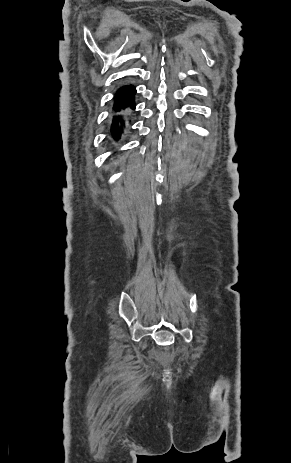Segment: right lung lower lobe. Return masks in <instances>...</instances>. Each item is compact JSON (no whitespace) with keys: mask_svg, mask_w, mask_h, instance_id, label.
Segmentation results:
<instances>
[{"mask_svg":"<svg viewBox=\"0 0 291 463\" xmlns=\"http://www.w3.org/2000/svg\"><path fill=\"white\" fill-rule=\"evenodd\" d=\"M134 86L121 87L115 97L110 120L109 137L111 142H118L128 135L130 118L136 108Z\"/></svg>","mask_w":291,"mask_h":463,"instance_id":"98d812e1","label":"right lung lower lobe"}]
</instances>
